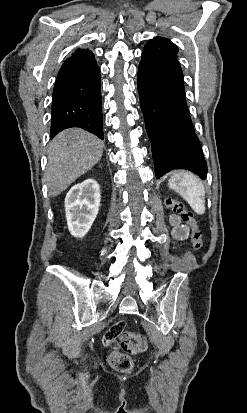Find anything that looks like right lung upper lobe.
Returning a JSON list of instances; mask_svg holds the SVG:
<instances>
[{
  "instance_id": "right-lung-upper-lobe-1",
  "label": "right lung upper lobe",
  "mask_w": 247,
  "mask_h": 413,
  "mask_svg": "<svg viewBox=\"0 0 247 413\" xmlns=\"http://www.w3.org/2000/svg\"><path fill=\"white\" fill-rule=\"evenodd\" d=\"M95 61L94 54L89 49H77L71 57H69L63 64V66L70 65L72 63H84Z\"/></svg>"
}]
</instances>
